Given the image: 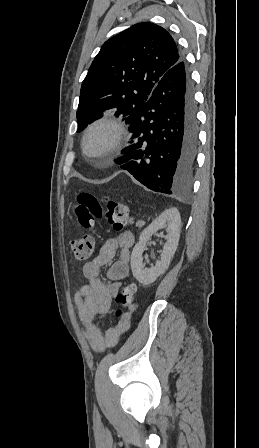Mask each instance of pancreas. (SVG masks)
<instances>
[{
    "instance_id": "obj_1",
    "label": "pancreas",
    "mask_w": 259,
    "mask_h": 448,
    "mask_svg": "<svg viewBox=\"0 0 259 448\" xmlns=\"http://www.w3.org/2000/svg\"><path fill=\"white\" fill-rule=\"evenodd\" d=\"M136 226H138V228H142V226H144V222H136Z\"/></svg>"
}]
</instances>
